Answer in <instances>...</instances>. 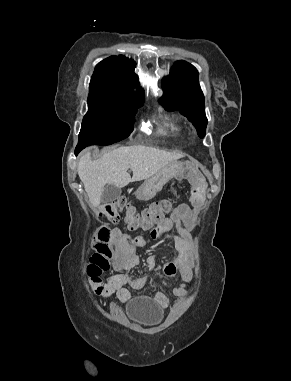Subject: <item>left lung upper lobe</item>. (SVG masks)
I'll return each mask as SVG.
<instances>
[{
    "label": "left lung upper lobe",
    "instance_id": "5c2ea615",
    "mask_svg": "<svg viewBox=\"0 0 291 381\" xmlns=\"http://www.w3.org/2000/svg\"><path fill=\"white\" fill-rule=\"evenodd\" d=\"M162 84L164 95L160 104L169 111L180 110L194 124L198 135L204 137L208 121L196 68L185 61H178Z\"/></svg>",
    "mask_w": 291,
    "mask_h": 381
}]
</instances>
